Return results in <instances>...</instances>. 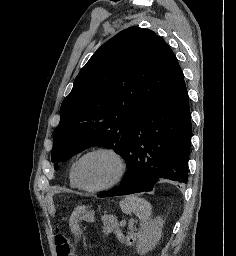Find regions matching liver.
Instances as JSON below:
<instances>
[{"label":"liver","instance_id":"obj_1","mask_svg":"<svg viewBox=\"0 0 236 256\" xmlns=\"http://www.w3.org/2000/svg\"><path fill=\"white\" fill-rule=\"evenodd\" d=\"M52 196H53V194H47V196H46V202L48 204V212H49V214H51V216H53V214H55V208L53 206Z\"/></svg>","mask_w":236,"mask_h":256}]
</instances>
